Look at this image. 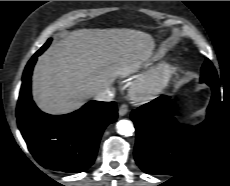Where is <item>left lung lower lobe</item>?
Wrapping results in <instances>:
<instances>
[{"label": "left lung lower lobe", "mask_w": 230, "mask_h": 186, "mask_svg": "<svg viewBox=\"0 0 230 186\" xmlns=\"http://www.w3.org/2000/svg\"><path fill=\"white\" fill-rule=\"evenodd\" d=\"M207 84L212 98L206 120L197 126L178 123L165 95L132 111L137 134L134 156L145 173L173 175L203 147L221 110L219 82Z\"/></svg>", "instance_id": "0a47b994"}]
</instances>
